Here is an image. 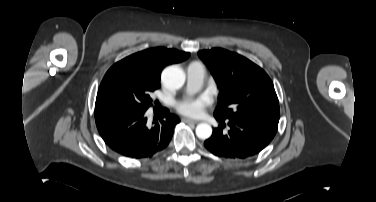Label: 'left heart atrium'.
<instances>
[{
  "mask_svg": "<svg viewBox=\"0 0 376 202\" xmlns=\"http://www.w3.org/2000/svg\"><path fill=\"white\" fill-rule=\"evenodd\" d=\"M210 98L206 95L197 98H189L177 104V110L188 116L196 117L202 114L206 105L210 103Z\"/></svg>",
  "mask_w": 376,
  "mask_h": 202,
  "instance_id": "1",
  "label": "left heart atrium"
}]
</instances>
